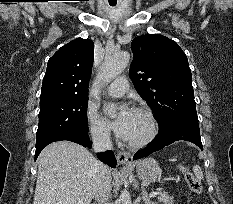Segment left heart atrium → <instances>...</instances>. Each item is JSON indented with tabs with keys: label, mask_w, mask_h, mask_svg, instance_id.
Masks as SVG:
<instances>
[{
	"label": "left heart atrium",
	"mask_w": 233,
	"mask_h": 204,
	"mask_svg": "<svg viewBox=\"0 0 233 204\" xmlns=\"http://www.w3.org/2000/svg\"><path fill=\"white\" fill-rule=\"evenodd\" d=\"M133 111L127 106L106 107V115L109 117V124L116 135L122 139H127L129 124Z\"/></svg>",
	"instance_id": "obj_1"
}]
</instances>
